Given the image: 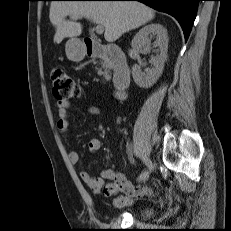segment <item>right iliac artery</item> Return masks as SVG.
<instances>
[{
	"label": "right iliac artery",
	"instance_id": "obj_1",
	"mask_svg": "<svg viewBox=\"0 0 231 231\" xmlns=\"http://www.w3.org/2000/svg\"><path fill=\"white\" fill-rule=\"evenodd\" d=\"M140 158H141L142 161L147 165V159H148V158H146V157H144V156H141ZM149 174H150V173H149L148 170H144V171L141 173L140 177H139V182H140V181H141V182H145V181L148 179Z\"/></svg>",
	"mask_w": 231,
	"mask_h": 231
}]
</instances>
